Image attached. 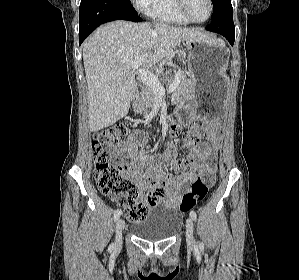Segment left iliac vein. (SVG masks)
<instances>
[{"label": "left iliac vein", "instance_id": "4c4485c4", "mask_svg": "<svg viewBox=\"0 0 299 280\" xmlns=\"http://www.w3.org/2000/svg\"><path fill=\"white\" fill-rule=\"evenodd\" d=\"M186 241L189 249H193L195 246V237H194V225L192 218L186 220Z\"/></svg>", "mask_w": 299, "mask_h": 280}]
</instances>
